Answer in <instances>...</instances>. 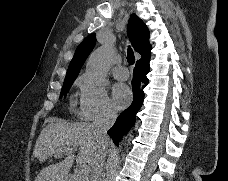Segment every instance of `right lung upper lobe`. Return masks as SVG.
Here are the masks:
<instances>
[{"mask_svg":"<svg viewBox=\"0 0 228 181\" xmlns=\"http://www.w3.org/2000/svg\"><path fill=\"white\" fill-rule=\"evenodd\" d=\"M127 32L135 51L141 54V58L149 56L151 51V45L149 43V30L136 14L131 15L128 22ZM95 43L96 35L92 33L88 35L77 47L74 57L67 70L64 82L76 79L80 68L84 64L90 52L93 50Z\"/></svg>","mask_w":228,"mask_h":181,"instance_id":"cb5924a9","label":"right lung upper lobe"}]
</instances>
